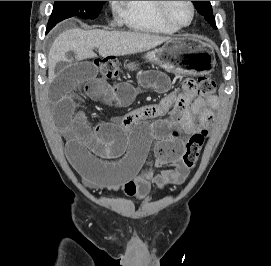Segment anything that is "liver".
<instances>
[{"label": "liver", "mask_w": 271, "mask_h": 266, "mask_svg": "<svg viewBox=\"0 0 271 266\" xmlns=\"http://www.w3.org/2000/svg\"><path fill=\"white\" fill-rule=\"evenodd\" d=\"M171 40L170 37L122 31L70 29L61 33L52 44L48 55V83L56 78L55 62L71 61L66 54L74 53L75 60L96 57L123 56L148 51Z\"/></svg>", "instance_id": "liver-1"}]
</instances>
